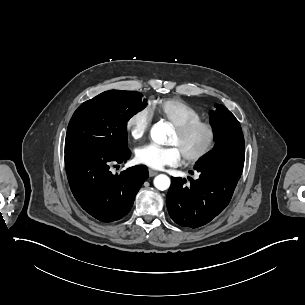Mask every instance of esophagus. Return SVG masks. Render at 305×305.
I'll return each instance as SVG.
<instances>
[{
    "mask_svg": "<svg viewBox=\"0 0 305 305\" xmlns=\"http://www.w3.org/2000/svg\"><path fill=\"white\" fill-rule=\"evenodd\" d=\"M158 174V172H156V171H154V170H152V169H149V176L150 177H154L155 175H157Z\"/></svg>",
    "mask_w": 305,
    "mask_h": 305,
    "instance_id": "34e87169",
    "label": "esophagus"
}]
</instances>
